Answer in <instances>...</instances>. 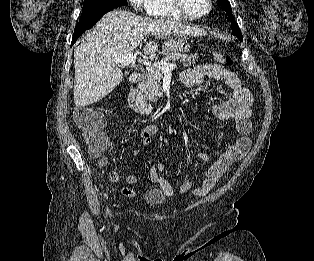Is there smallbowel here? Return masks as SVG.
<instances>
[{
    "label": "small bowel",
    "mask_w": 314,
    "mask_h": 261,
    "mask_svg": "<svg viewBox=\"0 0 314 261\" xmlns=\"http://www.w3.org/2000/svg\"><path fill=\"white\" fill-rule=\"evenodd\" d=\"M207 79H214L223 82L229 89V95L222 101L213 106L212 112L219 120L234 121L236 130L240 138L227 146L216 158H211L206 154H201L200 159L209 162V166L204 173V180L200 188L193 189V193L198 196H206L217 184L221 176L229 169L233 161L242 159L248 152L251 145V105L253 96L251 92L242 84L238 75L216 63H205L186 70L181 75V80L185 85H196L205 82ZM105 124L103 118L102 127ZM159 129L155 125H147L140 130V144L132 151V157H137L152 141L153 135L157 134ZM110 148V146H109ZM108 162L107 157L100 158V166H105ZM166 166L163 162H158L149 168L150 179L158 184L166 196L173 194L171 184L165 179L163 173ZM108 179L111 182L119 180V174L116 172L108 173ZM126 182L129 185H135L138 182L136 176L129 174L126 176ZM192 190V183L189 180L184 181L180 186L181 193H187ZM123 195L129 198L136 197V192L128 187L121 188Z\"/></svg>",
    "instance_id": "c3829d8e"
}]
</instances>
